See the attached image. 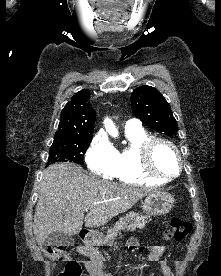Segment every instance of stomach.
Returning <instances> with one entry per match:
<instances>
[{
    "instance_id": "stomach-1",
    "label": "stomach",
    "mask_w": 221,
    "mask_h": 276,
    "mask_svg": "<svg viewBox=\"0 0 221 276\" xmlns=\"http://www.w3.org/2000/svg\"><path fill=\"white\" fill-rule=\"evenodd\" d=\"M173 203L174 198L171 194L156 191L144 199L143 211L149 216L165 215L172 209ZM102 241L103 235L101 233H95L88 239L91 245L101 244Z\"/></svg>"
}]
</instances>
